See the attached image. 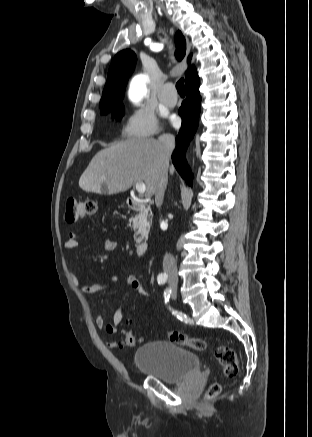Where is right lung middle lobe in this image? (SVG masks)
Returning <instances> with one entry per match:
<instances>
[{"instance_id": "right-lung-middle-lobe-1", "label": "right lung middle lobe", "mask_w": 312, "mask_h": 437, "mask_svg": "<svg viewBox=\"0 0 312 437\" xmlns=\"http://www.w3.org/2000/svg\"><path fill=\"white\" fill-rule=\"evenodd\" d=\"M110 112H111L112 118H115L117 120L121 119L123 114H124V106L123 105L118 106V107L114 108L113 110H111ZM103 114H107V113H103Z\"/></svg>"}]
</instances>
